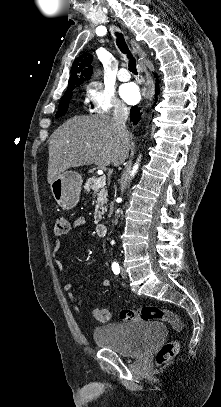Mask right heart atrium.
I'll return each instance as SVG.
<instances>
[{"label":"right heart atrium","mask_w":221,"mask_h":407,"mask_svg":"<svg viewBox=\"0 0 221 407\" xmlns=\"http://www.w3.org/2000/svg\"><path fill=\"white\" fill-rule=\"evenodd\" d=\"M85 95L88 105L94 113H126L128 111V107L113 91L97 82L86 84Z\"/></svg>","instance_id":"1"}]
</instances>
